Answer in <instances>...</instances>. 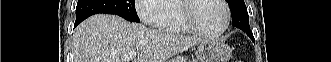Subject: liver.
I'll return each mask as SVG.
<instances>
[{
  "mask_svg": "<svg viewBox=\"0 0 331 62\" xmlns=\"http://www.w3.org/2000/svg\"><path fill=\"white\" fill-rule=\"evenodd\" d=\"M201 42L200 38L149 29L113 15L97 14L83 21L73 35L74 62H165Z\"/></svg>",
  "mask_w": 331,
  "mask_h": 62,
  "instance_id": "liver-1",
  "label": "liver"
}]
</instances>
